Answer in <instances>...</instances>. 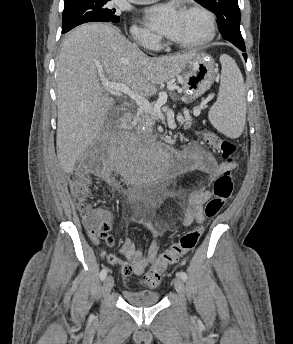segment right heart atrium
Wrapping results in <instances>:
<instances>
[{
    "label": "right heart atrium",
    "instance_id": "right-heart-atrium-1",
    "mask_svg": "<svg viewBox=\"0 0 293 344\" xmlns=\"http://www.w3.org/2000/svg\"><path fill=\"white\" fill-rule=\"evenodd\" d=\"M130 32L133 40L143 48L151 50L160 44L159 37L145 28L134 25Z\"/></svg>",
    "mask_w": 293,
    "mask_h": 344
}]
</instances>
